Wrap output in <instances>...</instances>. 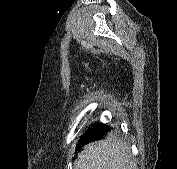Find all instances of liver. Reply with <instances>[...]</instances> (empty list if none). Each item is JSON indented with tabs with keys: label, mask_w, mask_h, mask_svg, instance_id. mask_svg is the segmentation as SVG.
I'll list each match as a JSON object with an SVG mask.
<instances>
[{
	"label": "liver",
	"mask_w": 177,
	"mask_h": 169,
	"mask_svg": "<svg viewBox=\"0 0 177 169\" xmlns=\"http://www.w3.org/2000/svg\"><path fill=\"white\" fill-rule=\"evenodd\" d=\"M74 169H135L129 149L117 140L99 141L83 147Z\"/></svg>",
	"instance_id": "1"
}]
</instances>
